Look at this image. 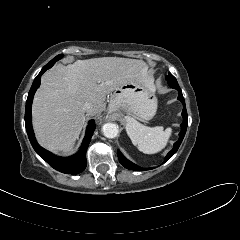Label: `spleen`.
Returning <instances> with one entry per match:
<instances>
[{"mask_svg":"<svg viewBox=\"0 0 240 240\" xmlns=\"http://www.w3.org/2000/svg\"><path fill=\"white\" fill-rule=\"evenodd\" d=\"M126 131L133 145L145 154H155L164 149L172 133L171 128L147 127L131 117L127 118Z\"/></svg>","mask_w":240,"mask_h":240,"instance_id":"spleen-1","label":"spleen"}]
</instances>
